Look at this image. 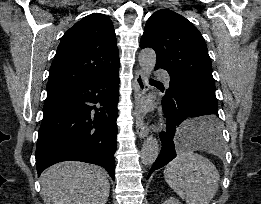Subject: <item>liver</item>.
Instances as JSON below:
<instances>
[{
  "instance_id": "liver-1",
  "label": "liver",
  "mask_w": 261,
  "mask_h": 204,
  "mask_svg": "<svg viewBox=\"0 0 261 204\" xmlns=\"http://www.w3.org/2000/svg\"><path fill=\"white\" fill-rule=\"evenodd\" d=\"M41 185L48 204H106L110 191L104 169L76 161L49 167Z\"/></svg>"
}]
</instances>
